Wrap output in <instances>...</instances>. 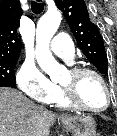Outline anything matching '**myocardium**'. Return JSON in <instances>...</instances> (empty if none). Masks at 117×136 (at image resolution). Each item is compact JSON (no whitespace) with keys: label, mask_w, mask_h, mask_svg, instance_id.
Here are the masks:
<instances>
[{"label":"myocardium","mask_w":117,"mask_h":136,"mask_svg":"<svg viewBox=\"0 0 117 136\" xmlns=\"http://www.w3.org/2000/svg\"><path fill=\"white\" fill-rule=\"evenodd\" d=\"M74 77H79L81 75L84 74H91L93 76H95L103 85L105 92H106V104L103 108L100 109H93V108H89L85 105H83L76 97L75 95V91L74 88L72 87H67L61 84V90L62 93L64 95V98L66 99L67 103L76 108L79 109L81 111H85V112H89V113H101L106 111L112 103V91L107 83V81L105 80V78L96 70L88 68V67H73L70 69L69 71Z\"/></svg>","instance_id":"obj_1"}]
</instances>
